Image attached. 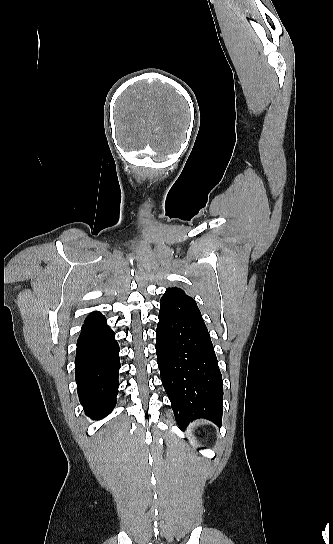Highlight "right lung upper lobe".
I'll return each mask as SVG.
<instances>
[{"mask_svg":"<svg viewBox=\"0 0 333 544\" xmlns=\"http://www.w3.org/2000/svg\"><path fill=\"white\" fill-rule=\"evenodd\" d=\"M99 315H102V314H101L100 312H98V311L92 312V313L87 317V319H86L85 321L90 320V319H92V318H94V317H96V316H99Z\"/></svg>","mask_w":333,"mask_h":544,"instance_id":"obj_1","label":"right lung upper lobe"}]
</instances>
